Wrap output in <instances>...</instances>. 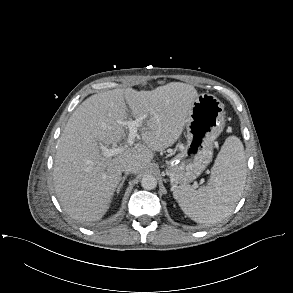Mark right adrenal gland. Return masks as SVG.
Returning <instances> with one entry per match:
<instances>
[{"instance_id":"obj_1","label":"right adrenal gland","mask_w":293,"mask_h":293,"mask_svg":"<svg viewBox=\"0 0 293 293\" xmlns=\"http://www.w3.org/2000/svg\"><path fill=\"white\" fill-rule=\"evenodd\" d=\"M126 177H127V176H124V177L122 178V181H121V183L119 184V186H118V188H117V194L120 192L121 188L123 187V184H124V182H125Z\"/></svg>"}]
</instances>
